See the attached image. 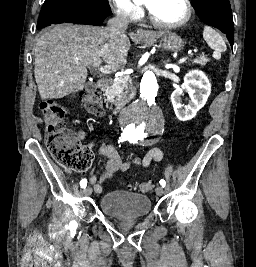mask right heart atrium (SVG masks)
Instances as JSON below:
<instances>
[{
  "label": "right heart atrium",
  "instance_id": "obj_1",
  "mask_svg": "<svg viewBox=\"0 0 256 267\" xmlns=\"http://www.w3.org/2000/svg\"><path fill=\"white\" fill-rule=\"evenodd\" d=\"M142 15V8L139 5L133 6L128 12L124 14L125 18L129 21H135Z\"/></svg>",
  "mask_w": 256,
  "mask_h": 267
}]
</instances>
